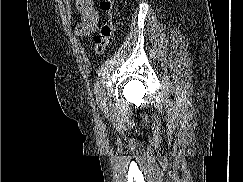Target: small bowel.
<instances>
[{
	"mask_svg": "<svg viewBox=\"0 0 243 182\" xmlns=\"http://www.w3.org/2000/svg\"><path fill=\"white\" fill-rule=\"evenodd\" d=\"M76 8L80 14V22L75 28V33L81 37H89L99 23V14L94 7L93 0H76Z\"/></svg>",
	"mask_w": 243,
	"mask_h": 182,
	"instance_id": "obj_1",
	"label": "small bowel"
}]
</instances>
